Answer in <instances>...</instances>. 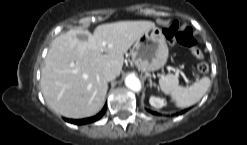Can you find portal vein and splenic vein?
<instances>
[{
    "mask_svg": "<svg viewBox=\"0 0 247 145\" xmlns=\"http://www.w3.org/2000/svg\"><path fill=\"white\" fill-rule=\"evenodd\" d=\"M176 75L179 76V70L178 69H176Z\"/></svg>",
    "mask_w": 247,
    "mask_h": 145,
    "instance_id": "obj_1",
    "label": "portal vein and splenic vein"
}]
</instances>
